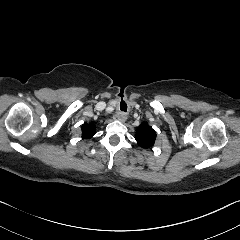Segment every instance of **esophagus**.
Returning <instances> with one entry per match:
<instances>
[{
	"mask_svg": "<svg viewBox=\"0 0 240 240\" xmlns=\"http://www.w3.org/2000/svg\"><path fill=\"white\" fill-rule=\"evenodd\" d=\"M113 118H114L115 120L124 122V121H126V119H127V115L124 114V113H121V112H117V113L113 116Z\"/></svg>",
	"mask_w": 240,
	"mask_h": 240,
	"instance_id": "34e87169",
	"label": "esophagus"
}]
</instances>
